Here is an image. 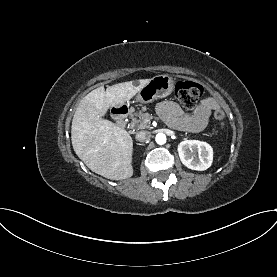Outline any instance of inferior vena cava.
<instances>
[{
	"mask_svg": "<svg viewBox=\"0 0 277 277\" xmlns=\"http://www.w3.org/2000/svg\"><path fill=\"white\" fill-rule=\"evenodd\" d=\"M151 137L150 132L148 131H139L136 133V140L140 141V142H144V141H148Z\"/></svg>",
	"mask_w": 277,
	"mask_h": 277,
	"instance_id": "602c4592",
	"label": "inferior vena cava"
}]
</instances>
